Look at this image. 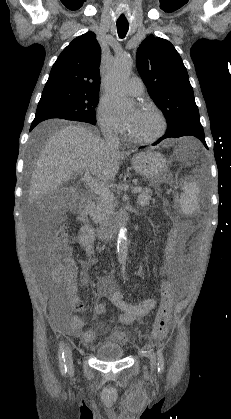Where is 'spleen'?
Returning a JSON list of instances; mask_svg holds the SVG:
<instances>
[{
    "label": "spleen",
    "instance_id": "spleen-1",
    "mask_svg": "<svg viewBox=\"0 0 231 419\" xmlns=\"http://www.w3.org/2000/svg\"><path fill=\"white\" fill-rule=\"evenodd\" d=\"M199 188L196 183H185L180 197V206L184 214L192 215L198 206Z\"/></svg>",
    "mask_w": 231,
    "mask_h": 419
}]
</instances>
